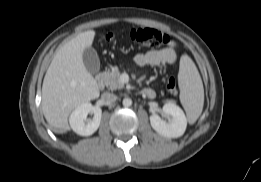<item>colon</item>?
I'll use <instances>...</instances> for the list:
<instances>
[{"label":"colon","mask_w":261,"mask_h":182,"mask_svg":"<svg viewBox=\"0 0 261 182\" xmlns=\"http://www.w3.org/2000/svg\"><path fill=\"white\" fill-rule=\"evenodd\" d=\"M129 38L135 45L150 49L158 48L169 43V37L166 34L147 27L133 28L129 33ZM166 87L170 94L175 95L177 93L174 78L171 77L168 79Z\"/></svg>","instance_id":"1"}]
</instances>
